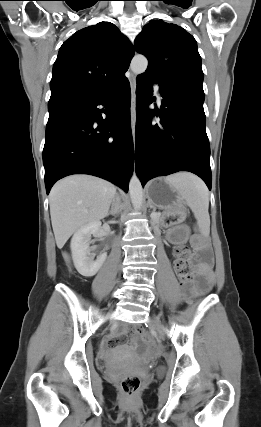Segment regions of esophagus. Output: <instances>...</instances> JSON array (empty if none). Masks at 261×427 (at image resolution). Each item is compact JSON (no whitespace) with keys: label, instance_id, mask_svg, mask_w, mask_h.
<instances>
[{"label":"esophagus","instance_id":"obj_1","mask_svg":"<svg viewBox=\"0 0 261 427\" xmlns=\"http://www.w3.org/2000/svg\"><path fill=\"white\" fill-rule=\"evenodd\" d=\"M130 88H131V107H130V115H131V130L133 140H135V126H136V77L132 73L130 76Z\"/></svg>","mask_w":261,"mask_h":427}]
</instances>
